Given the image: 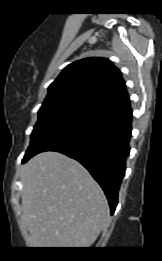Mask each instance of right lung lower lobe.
Masks as SVG:
<instances>
[{
	"instance_id": "right-lung-lower-lobe-1",
	"label": "right lung lower lobe",
	"mask_w": 162,
	"mask_h": 261,
	"mask_svg": "<svg viewBox=\"0 0 162 261\" xmlns=\"http://www.w3.org/2000/svg\"><path fill=\"white\" fill-rule=\"evenodd\" d=\"M131 121L128 96L108 102L54 131L25 154L23 162L44 151L61 152L79 161L104 190L113 214L130 152Z\"/></svg>"
}]
</instances>
